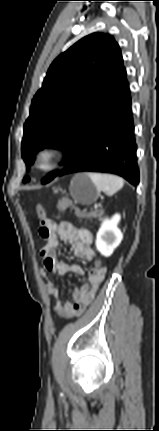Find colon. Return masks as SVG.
Returning <instances> with one entry per match:
<instances>
[{
  "label": "colon",
  "mask_w": 159,
  "mask_h": 431,
  "mask_svg": "<svg viewBox=\"0 0 159 431\" xmlns=\"http://www.w3.org/2000/svg\"><path fill=\"white\" fill-rule=\"evenodd\" d=\"M66 209H69L75 216H77L80 219L93 217L95 215L92 212H87L85 210L80 209L78 206H76L72 201L68 199H63L59 201L57 204V210L59 212H62ZM36 211L40 222L41 223L45 222L47 220L45 206L42 204L37 205ZM99 263H103L102 259L100 258L95 259V266H97Z\"/></svg>",
  "instance_id": "colon-1"
}]
</instances>
